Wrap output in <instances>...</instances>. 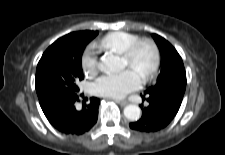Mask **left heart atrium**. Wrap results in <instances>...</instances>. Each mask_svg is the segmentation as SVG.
I'll use <instances>...</instances> for the list:
<instances>
[{
  "instance_id": "1",
  "label": "left heart atrium",
  "mask_w": 225,
  "mask_h": 155,
  "mask_svg": "<svg viewBox=\"0 0 225 155\" xmlns=\"http://www.w3.org/2000/svg\"><path fill=\"white\" fill-rule=\"evenodd\" d=\"M141 84L142 77L135 70L128 68L101 76L93 83L92 91L98 96L122 98L140 88Z\"/></svg>"
}]
</instances>
